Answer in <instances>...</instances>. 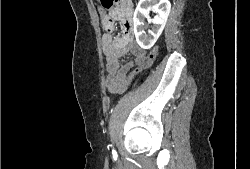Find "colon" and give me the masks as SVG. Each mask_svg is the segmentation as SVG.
<instances>
[{"mask_svg": "<svg viewBox=\"0 0 250 169\" xmlns=\"http://www.w3.org/2000/svg\"><path fill=\"white\" fill-rule=\"evenodd\" d=\"M104 9H111L114 7V0H99ZM159 44H154V48L149 52L147 57L140 63L136 69H131V75L125 78L124 81L120 82V94H125L127 88L132 86L133 80H135L136 74L143 72L144 69H148L149 66L154 65V60L158 54H160Z\"/></svg>", "mask_w": 250, "mask_h": 169, "instance_id": "1", "label": "colon"}]
</instances>
